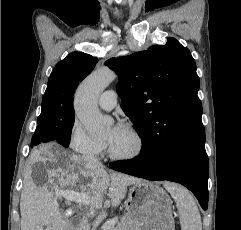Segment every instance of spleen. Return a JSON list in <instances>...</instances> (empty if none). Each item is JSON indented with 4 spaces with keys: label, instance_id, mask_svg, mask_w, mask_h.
<instances>
[{
    "label": "spleen",
    "instance_id": "1",
    "mask_svg": "<svg viewBox=\"0 0 241 230\" xmlns=\"http://www.w3.org/2000/svg\"><path fill=\"white\" fill-rule=\"evenodd\" d=\"M164 187L176 202L182 230H202L200 213L192 194L184 187L165 183Z\"/></svg>",
    "mask_w": 241,
    "mask_h": 230
}]
</instances>
